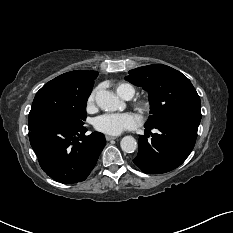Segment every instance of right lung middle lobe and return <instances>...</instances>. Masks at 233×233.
<instances>
[{
    "mask_svg": "<svg viewBox=\"0 0 233 233\" xmlns=\"http://www.w3.org/2000/svg\"><path fill=\"white\" fill-rule=\"evenodd\" d=\"M94 79L75 81L60 75L49 81L37 92L28 123L41 118H52L83 125L86 118V103Z\"/></svg>",
    "mask_w": 233,
    "mask_h": 233,
    "instance_id": "right-lung-middle-lobe-1",
    "label": "right lung middle lobe"
}]
</instances>
